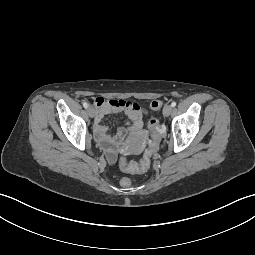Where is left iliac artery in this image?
Returning <instances> with one entry per match:
<instances>
[{
    "instance_id": "left-iliac-artery-1",
    "label": "left iliac artery",
    "mask_w": 255,
    "mask_h": 255,
    "mask_svg": "<svg viewBox=\"0 0 255 255\" xmlns=\"http://www.w3.org/2000/svg\"><path fill=\"white\" fill-rule=\"evenodd\" d=\"M171 106H172V107H175V106H176V102H172V103H171Z\"/></svg>"
}]
</instances>
